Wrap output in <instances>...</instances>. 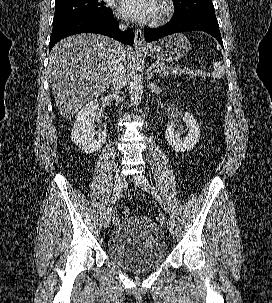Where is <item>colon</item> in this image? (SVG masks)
I'll list each match as a JSON object with an SVG mask.
<instances>
[{
    "label": "colon",
    "mask_w": 272,
    "mask_h": 303,
    "mask_svg": "<svg viewBox=\"0 0 272 303\" xmlns=\"http://www.w3.org/2000/svg\"><path fill=\"white\" fill-rule=\"evenodd\" d=\"M172 74L174 76L178 77H201V78H206L210 76V73L206 70L203 69H198V68H191L187 67L181 64H175L172 69ZM216 89L217 91H220V85L216 83ZM123 214L125 216H128L130 214V210L128 208H125L123 210Z\"/></svg>",
    "instance_id": "5ec220e1"
}]
</instances>
